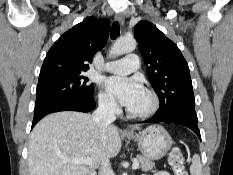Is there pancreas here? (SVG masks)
<instances>
[{"label": "pancreas", "mask_w": 233, "mask_h": 175, "mask_svg": "<svg viewBox=\"0 0 233 175\" xmlns=\"http://www.w3.org/2000/svg\"><path fill=\"white\" fill-rule=\"evenodd\" d=\"M136 160L140 163V168L143 171H150L155 167V163L144 156L137 155Z\"/></svg>", "instance_id": "cf45deb5"}]
</instances>
